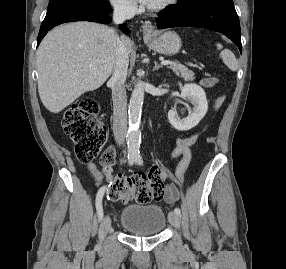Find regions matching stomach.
<instances>
[{
	"label": "stomach",
	"mask_w": 286,
	"mask_h": 269,
	"mask_svg": "<svg viewBox=\"0 0 286 269\" xmlns=\"http://www.w3.org/2000/svg\"><path fill=\"white\" fill-rule=\"evenodd\" d=\"M144 41L154 51L164 55H175L181 48V39L174 31L150 33L145 35Z\"/></svg>",
	"instance_id": "0dacf381"
}]
</instances>
